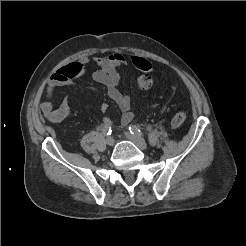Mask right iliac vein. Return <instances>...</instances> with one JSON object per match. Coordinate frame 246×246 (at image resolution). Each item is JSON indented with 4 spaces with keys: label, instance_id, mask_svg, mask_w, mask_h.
<instances>
[{
    "label": "right iliac vein",
    "instance_id": "obj_1",
    "mask_svg": "<svg viewBox=\"0 0 246 246\" xmlns=\"http://www.w3.org/2000/svg\"><path fill=\"white\" fill-rule=\"evenodd\" d=\"M106 143H107V145H109V146H113L114 143H115V140H114V138H113L112 136H108V137L106 138Z\"/></svg>",
    "mask_w": 246,
    "mask_h": 246
}]
</instances>
